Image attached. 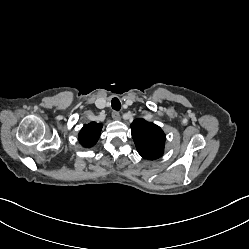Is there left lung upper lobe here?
I'll return each mask as SVG.
<instances>
[{"instance_id": "left-lung-upper-lobe-1", "label": "left lung upper lobe", "mask_w": 249, "mask_h": 249, "mask_svg": "<svg viewBox=\"0 0 249 249\" xmlns=\"http://www.w3.org/2000/svg\"><path fill=\"white\" fill-rule=\"evenodd\" d=\"M130 127L137 151L143 158L155 160L163 155L166 136L159 126L139 118Z\"/></svg>"}]
</instances>
